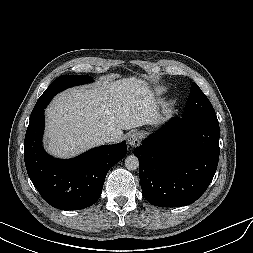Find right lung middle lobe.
Segmentation results:
<instances>
[{
    "mask_svg": "<svg viewBox=\"0 0 253 253\" xmlns=\"http://www.w3.org/2000/svg\"><path fill=\"white\" fill-rule=\"evenodd\" d=\"M93 79L87 75H62L59 76L56 80H54L49 87L45 90V92L40 96L37 103L35 104L31 116L39 112L41 109H44L51 99L62 90L72 87L75 85H81L85 83L92 82Z\"/></svg>",
    "mask_w": 253,
    "mask_h": 253,
    "instance_id": "dd1d6c3e",
    "label": "right lung middle lobe"
}]
</instances>
